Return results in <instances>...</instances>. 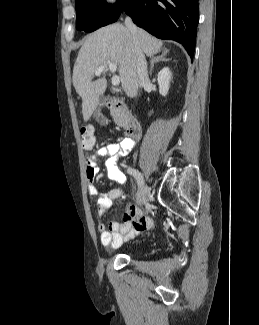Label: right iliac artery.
<instances>
[{"mask_svg":"<svg viewBox=\"0 0 259 325\" xmlns=\"http://www.w3.org/2000/svg\"><path fill=\"white\" fill-rule=\"evenodd\" d=\"M127 173L130 174V175H132L136 179V183L139 186L140 183H141L140 173L136 169H134V168H128L127 169Z\"/></svg>","mask_w":259,"mask_h":325,"instance_id":"obj_1","label":"right iliac artery"}]
</instances>
